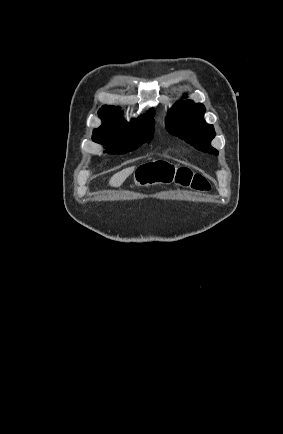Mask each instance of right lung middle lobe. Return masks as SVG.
<instances>
[{"label":"right lung middle lobe","mask_w":283,"mask_h":434,"mask_svg":"<svg viewBox=\"0 0 283 434\" xmlns=\"http://www.w3.org/2000/svg\"><path fill=\"white\" fill-rule=\"evenodd\" d=\"M154 124L139 125L130 129L94 130L93 141L105 146L108 153L124 154L133 151L153 138Z\"/></svg>","instance_id":"1"}]
</instances>
